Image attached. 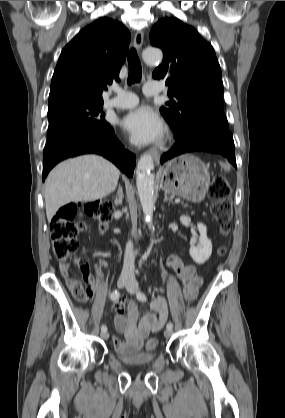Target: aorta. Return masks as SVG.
Instances as JSON below:
<instances>
[{"mask_svg": "<svg viewBox=\"0 0 285 418\" xmlns=\"http://www.w3.org/2000/svg\"><path fill=\"white\" fill-rule=\"evenodd\" d=\"M142 56L148 64H155L162 60V52L158 49H145ZM153 169L154 162L152 156L148 153L143 154L137 164L136 184L143 213L150 229H153L152 219L155 203Z\"/></svg>", "mask_w": 285, "mask_h": 418, "instance_id": "762f6f07", "label": "aorta"}]
</instances>
